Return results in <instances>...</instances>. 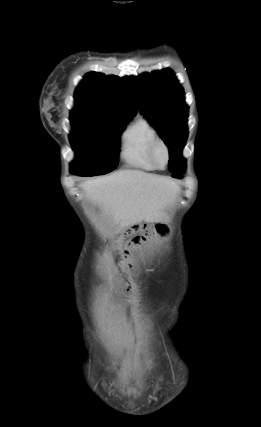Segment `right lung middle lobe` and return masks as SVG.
Listing matches in <instances>:
<instances>
[{
	"label": "right lung middle lobe",
	"instance_id": "dd1d6c3e",
	"mask_svg": "<svg viewBox=\"0 0 261 427\" xmlns=\"http://www.w3.org/2000/svg\"><path fill=\"white\" fill-rule=\"evenodd\" d=\"M70 141L76 159L71 172L81 176L107 174L118 165L119 137L129 120L71 115Z\"/></svg>",
	"mask_w": 261,
	"mask_h": 427
}]
</instances>
